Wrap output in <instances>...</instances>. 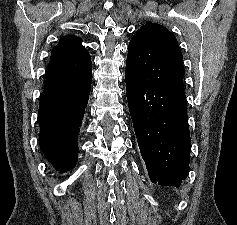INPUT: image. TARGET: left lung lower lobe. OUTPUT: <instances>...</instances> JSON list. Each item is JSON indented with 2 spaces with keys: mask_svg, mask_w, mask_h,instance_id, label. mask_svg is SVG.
Returning a JSON list of instances; mask_svg holds the SVG:
<instances>
[{
  "mask_svg": "<svg viewBox=\"0 0 237 225\" xmlns=\"http://www.w3.org/2000/svg\"><path fill=\"white\" fill-rule=\"evenodd\" d=\"M133 127L153 183L178 187L189 172L191 139L183 89L142 84L125 71Z\"/></svg>",
  "mask_w": 237,
  "mask_h": 225,
  "instance_id": "0a47b994",
  "label": "left lung lower lobe"
}]
</instances>
